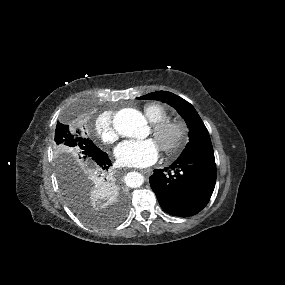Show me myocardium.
Returning <instances> with one entry per match:
<instances>
[{
	"instance_id": "obj_1",
	"label": "myocardium",
	"mask_w": 285,
	"mask_h": 285,
	"mask_svg": "<svg viewBox=\"0 0 285 285\" xmlns=\"http://www.w3.org/2000/svg\"><path fill=\"white\" fill-rule=\"evenodd\" d=\"M152 133L164 154L169 158H174L186 144L188 127L181 119H165L153 123Z\"/></svg>"
}]
</instances>
